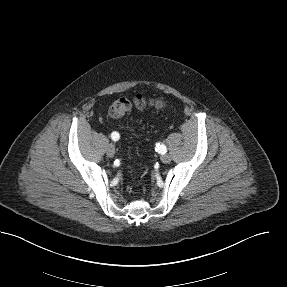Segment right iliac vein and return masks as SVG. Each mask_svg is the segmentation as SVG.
Instances as JSON below:
<instances>
[{
  "mask_svg": "<svg viewBox=\"0 0 287 287\" xmlns=\"http://www.w3.org/2000/svg\"><path fill=\"white\" fill-rule=\"evenodd\" d=\"M107 155L109 157H113L115 155V147H114V145H112V144L108 145V147H107Z\"/></svg>",
  "mask_w": 287,
  "mask_h": 287,
  "instance_id": "1",
  "label": "right iliac vein"
}]
</instances>
